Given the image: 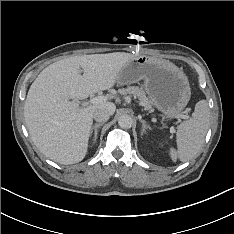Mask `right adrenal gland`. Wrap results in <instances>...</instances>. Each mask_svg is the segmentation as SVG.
<instances>
[{"mask_svg":"<svg viewBox=\"0 0 234 234\" xmlns=\"http://www.w3.org/2000/svg\"><path fill=\"white\" fill-rule=\"evenodd\" d=\"M103 125V123H98V124H95L91 130H90V136H92V133L94 131V143L96 142V139H97V135H98V128H100L101 126Z\"/></svg>","mask_w":234,"mask_h":234,"instance_id":"obj_1","label":"right adrenal gland"}]
</instances>
